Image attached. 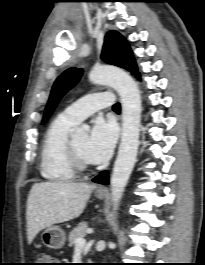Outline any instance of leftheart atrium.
Here are the masks:
<instances>
[{"label": "left heart atrium", "mask_w": 205, "mask_h": 265, "mask_svg": "<svg viewBox=\"0 0 205 265\" xmlns=\"http://www.w3.org/2000/svg\"><path fill=\"white\" fill-rule=\"evenodd\" d=\"M117 139L113 123L97 119L85 147V156L91 163L105 162L112 154Z\"/></svg>", "instance_id": "left-heart-atrium-1"}]
</instances>
